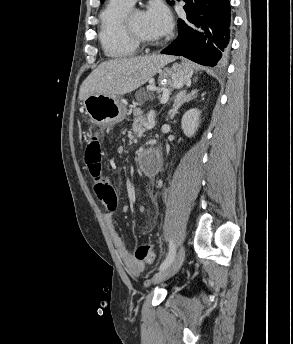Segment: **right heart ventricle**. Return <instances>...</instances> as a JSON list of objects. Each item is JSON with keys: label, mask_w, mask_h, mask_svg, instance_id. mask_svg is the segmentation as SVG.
Listing matches in <instances>:
<instances>
[{"label": "right heart ventricle", "mask_w": 293, "mask_h": 344, "mask_svg": "<svg viewBox=\"0 0 293 344\" xmlns=\"http://www.w3.org/2000/svg\"><path fill=\"white\" fill-rule=\"evenodd\" d=\"M132 5L109 0L100 12L99 40L106 56L126 58L138 54L139 46L128 39L123 30V20Z\"/></svg>", "instance_id": "1"}]
</instances>
